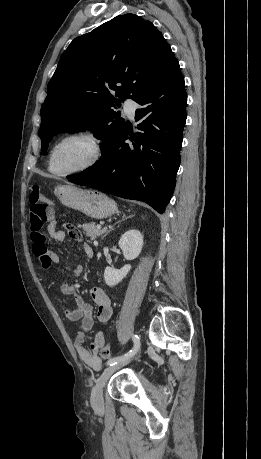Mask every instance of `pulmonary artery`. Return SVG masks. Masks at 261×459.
<instances>
[{
	"instance_id": "e3ab8cb5",
	"label": "pulmonary artery",
	"mask_w": 261,
	"mask_h": 459,
	"mask_svg": "<svg viewBox=\"0 0 261 459\" xmlns=\"http://www.w3.org/2000/svg\"><path fill=\"white\" fill-rule=\"evenodd\" d=\"M124 111L128 117L133 118L136 111V103L132 100H127L124 104Z\"/></svg>"
}]
</instances>
